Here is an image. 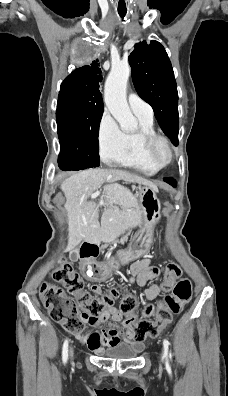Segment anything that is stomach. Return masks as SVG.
<instances>
[{
  "mask_svg": "<svg viewBox=\"0 0 228 396\" xmlns=\"http://www.w3.org/2000/svg\"><path fill=\"white\" fill-rule=\"evenodd\" d=\"M157 192L158 189L151 186H139L138 201L141 211V226L131 237L126 250L130 260L144 256L151 247L154 225L161 218V203L157 197Z\"/></svg>",
  "mask_w": 228,
  "mask_h": 396,
  "instance_id": "0dacf381",
  "label": "stomach"
}]
</instances>
